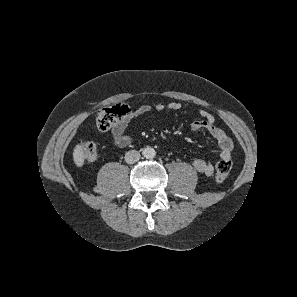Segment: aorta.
Listing matches in <instances>:
<instances>
[{
    "label": "aorta",
    "instance_id": "aorta-1",
    "mask_svg": "<svg viewBox=\"0 0 297 297\" xmlns=\"http://www.w3.org/2000/svg\"><path fill=\"white\" fill-rule=\"evenodd\" d=\"M143 156L146 159H153L156 155V151L152 147H146L143 149Z\"/></svg>",
    "mask_w": 297,
    "mask_h": 297
}]
</instances>
